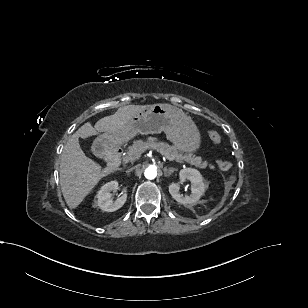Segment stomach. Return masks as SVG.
<instances>
[{
  "mask_svg": "<svg viewBox=\"0 0 308 308\" xmlns=\"http://www.w3.org/2000/svg\"><path fill=\"white\" fill-rule=\"evenodd\" d=\"M164 132L181 152L193 153L200 147L201 136L193 120L170 104H154L133 115L125 130L106 132L93 143L103 153L123 144L137 134Z\"/></svg>",
  "mask_w": 308,
  "mask_h": 308,
  "instance_id": "0dacf381",
  "label": "stomach"
}]
</instances>
